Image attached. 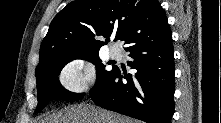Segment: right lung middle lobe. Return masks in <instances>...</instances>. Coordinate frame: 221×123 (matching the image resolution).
Wrapping results in <instances>:
<instances>
[{"label": "right lung middle lobe", "instance_id": "right-lung-middle-lobe-1", "mask_svg": "<svg viewBox=\"0 0 221 123\" xmlns=\"http://www.w3.org/2000/svg\"><path fill=\"white\" fill-rule=\"evenodd\" d=\"M75 59H84L96 64L98 85L111 71L105 69V65L101 63L98 51L72 55L51 61L36 68L38 105L36 112L41 111L49 101L55 99L79 100L83 98V93H72L66 90L59 82L58 75L62 68L70 61Z\"/></svg>", "mask_w": 221, "mask_h": 123}]
</instances>
